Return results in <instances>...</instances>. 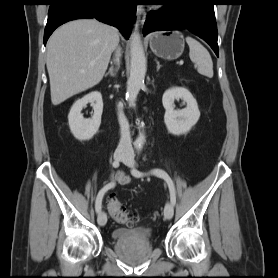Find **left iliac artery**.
Returning <instances> with one entry per match:
<instances>
[{
	"mask_svg": "<svg viewBox=\"0 0 278 278\" xmlns=\"http://www.w3.org/2000/svg\"><path fill=\"white\" fill-rule=\"evenodd\" d=\"M150 173L157 176V177L163 178L166 181V183L168 185V188H169V192H170V200H171L172 205L174 206L176 204V191H175V186H174L173 180L162 169H152L150 171ZM132 174L135 177H141V176L144 175V173H142V172H140L136 169L132 170Z\"/></svg>",
	"mask_w": 278,
	"mask_h": 278,
	"instance_id": "left-iliac-artery-1",
	"label": "left iliac artery"
}]
</instances>
